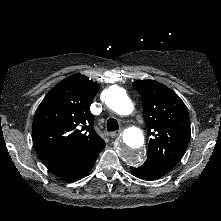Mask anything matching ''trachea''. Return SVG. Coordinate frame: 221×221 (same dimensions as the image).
<instances>
[{
  "label": "trachea",
  "mask_w": 221,
  "mask_h": 221,
  "mask_svg": "<svg viewBox=\"0 0 221 221\" xmlns=\"http://www.w3.org/2000/svg\"><path fill=\"white\" fill-rule=\"evenodd\" d=\"M119 128V124L116 119L109 118L107 121V130L108 131H115Z\"/></svg>",
  "instance_id": "obj_1"
}]
</instances>
